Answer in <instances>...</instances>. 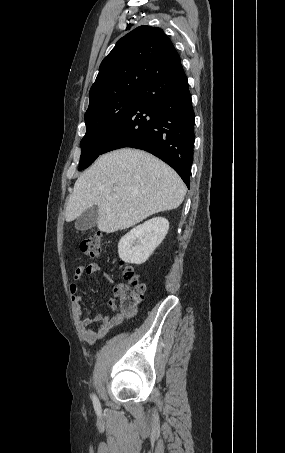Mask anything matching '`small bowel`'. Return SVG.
Segmentation results:
<instances>
[{"instance_id": "1", "label": "small bowel", "mask_w": 285, "mask_h": 453, "mask_svg": "<svg viewBox=\"0 0 285 453\" xmlns=\"http://www.w3.org/2000/svg\"><path fill=\"white\" fill-rule=\"evenodd\" d=\"M98 271L99 266L95 263L86 266H79L75 270L74 279L78 280L84 275H91ZM102 279L108 284L112 283V278L107 273L102 274ZM69 290L71 294L73 318L81 337L88 344H95L98 340L105 337L111 328L119 325L123 321L124 315L121 313H116L113 316H103L102 314H96L94 316L83 317L81 307L82 297L78 293L79 287L77 283H71ZM110 306L111 308L115 309V304L113 301H110ZM96 323H98L99 325L97 327H93V325Z\"/></svg>"}]
</instances>
